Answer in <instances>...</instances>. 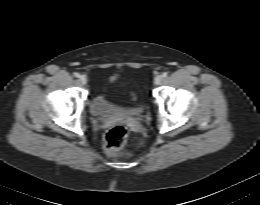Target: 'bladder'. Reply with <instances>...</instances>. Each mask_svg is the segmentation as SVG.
<instances>
[{
    "label": "bladder",
    "instance_id": "obj_1",
    "mask_svg": "<svg viewBox=\"0 0 260 205\" xmlns=\"http://www.w3.org/2000/svg\"><path fill=\"white\" fill-rule=\"evenodd\" d=\"M117 83V78H109L106 82L101 84L95 91L90 103V112L95 117H110L118 114L128 113L131 115H138L142 111L141 106L133 107L128 110L114 104L109 100L106 90L109 86Z\"/></svg>",
    "mask_w": 260,
    "mask_h": 205
}]
</instances>
